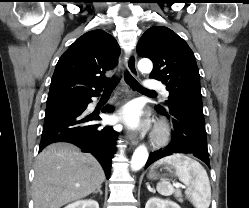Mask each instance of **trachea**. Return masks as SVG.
I'll return each mask as SVG.
<instances>
[{
  "mask_svg": "<svg viewBox=\"0 0 249 208\" xmlns=\"http://www.w3.org/2000/svg\"><path fill=\"white\" fill-rule=\"evenodd\" d=\"M125 80L133 90H137V91L145 93V94H156L154 91H148L145 88H143L137 82V80L133 76H131L128 72L125 74ZM118 81H119V79L117 77H113L111 80H109L107 83H105L104 84V88H105L104 92H112L115 89Z\"/></svg>",
  "mask_w": 249,
  "mask_h": 208,
  "instance_id": "3493384b",
  "label": "trachea"
}]
</instances>
